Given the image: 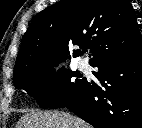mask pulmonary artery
<instances>
[{
	"label": "pulmonary artery",
	"mask_w": 142,
	"mask_h": 128,
	"mask_svg": "<svg viewBox=\"0 0 142 128\" xmlns=\"http://www.w3.org/2000/svg\"><path fill=\"white\" fill-rule=\"evenodd\" d=\"M79 67L84 71L89 70L90 68L88 61L84 59L79 61Z\"/></svg>",
	"instance_id": "pulmonary-artery-1"
}]
</instances>
